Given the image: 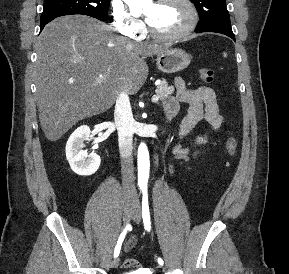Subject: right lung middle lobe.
<instances>
[{
	"mask_svg": "<svg viewBox=\"0 0 289 274\" xmlns=\"http://www.w3.org/2000/svg\"><path fill=\"white\" fill-rule=\"evenodd\" d=\"M110 0H44L41 21L64 15L82 14L105 21Z\"/></svg>",
	"mask_w": 289,
	"mask_h": 274,
	"instance_id": "1",
	"label": "right lung middle lobe"
}]
</instances>
